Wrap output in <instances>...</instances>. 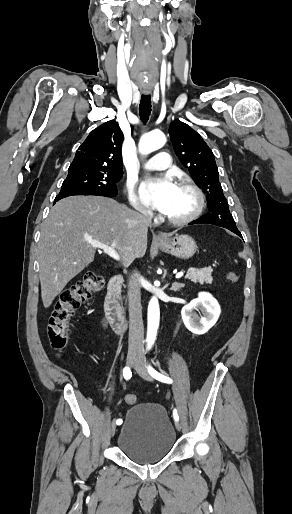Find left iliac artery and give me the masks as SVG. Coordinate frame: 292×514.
<instances>
[{
	"label": "left iliac artery",
	"instance_id": "left-iliac-artery-1",
	"mask_svg": "<svg viewBox=\"0 0 292 514\" xmlns=\"http://www.w3.org/2000/svg\"><path fill=\"white\" fill-rule=\"evenodd\" d=\"M148 372H149V374H150L153 378L157 379L158 381H161V382H164V383H172V382H173L171 378H169V377H167V376H165V375H163V374L159 373L158 371H156V370H155L152 366H150V365L148 366ZM173 416H174V419H175L176 421H178V420H179L178 413H177V410H176V409H174V411H173Z\"/></svg>",
	"mask_w": 292,
	"mask_h": 514
}]
</instances>
